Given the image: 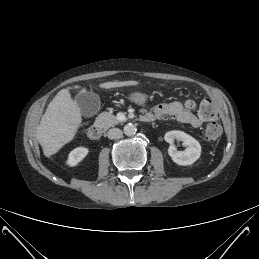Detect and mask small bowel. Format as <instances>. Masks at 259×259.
<instances>
[{"label":"small bowel","mask_w":259,"mask_h":259,"mask_svg":"<svg viewBox=\"0 0 259 259\" xmlns=\"http://www.w3.org/2000/svg\"><path fill=\"white\" fill-rule=\"evenodd\" d=\"M195 110L196 103L193 100H186L183 103L180 101H171L158 104L150 114L154 117V120L172 116L180 123L198 128L204 122L210 120V118L202 115L200 111L196 113Z\"/></svg>","instance_id":"c3829d8e"}]
</instances>
